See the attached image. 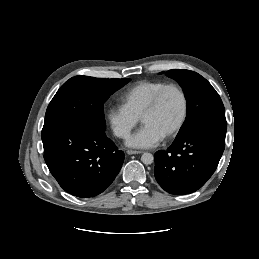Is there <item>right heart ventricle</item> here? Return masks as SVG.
Wrapping results in <instances>:
<instances>
[{
  "mask_svg": "<svg viewBox=\"0 0 259 259\" xmlns=\"http://www.w3.org/2000/svg\"><path fill=\"white\" fill-rule=\"evenodd\" d=\"M165 85L167 82L161 80L140 81L123 94V106L134 116L140 118L157 92Z\"/></svg>",
  "mask_w": 259,
  "mask_h": 259,
  "instance_id": "right-heart-ventricle-1",
  "label": "right heart ventricle"
}]
</instances>
